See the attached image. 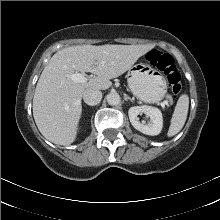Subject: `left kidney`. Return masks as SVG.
Instances as JSON below:
<instances>
[{"instance_id":"left-kidney-1","label":"left kidney","mask_w":220,"mask_h":220,"mask_svg":"<svg viewBox=\"0 0 220 220\" xmlns=\"http://www.w3.org/2000/svg\"><path fill=\"white\" fill-rule=\"evenodd\" d=\"M141 113L150 117L151 122L149 124H143L139 121L138 115ZM128 115L132 126L143 134L154 136L162 130L163 117L158 108L147 105L133 106L129 109Z\"/></svg>"}]
</instances>
